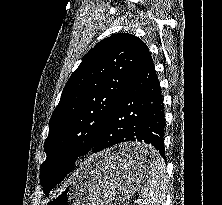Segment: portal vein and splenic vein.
Instances as JSON below:
<instances>
[{"instance_id": "18ae733b", "label": "portal vein and splenic vein", "mask_w": 222, "mask_h": 205, "mask_svg": "<svg viewBox=\"0 0 222 205\" xmlns=\"http://www.w3.org/2000/svg\"><path fill=\"white\" fill-rule=\"evenodd\" d=\"M139 202H140V200L135 201V203H139Z\"/></svg>"}]
</instances>
